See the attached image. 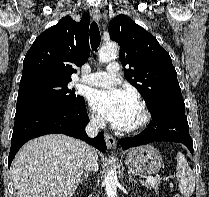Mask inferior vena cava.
Returning <instances> with one entry per match:
<instances>
[{
    "label": "inferior vena cava",
    "instance_id": "602c4592",
    "mask_svg": "<svg viewBox=\"0 0 209 197\" xmlns=\"http://www.w3.org/2000/svg\"><path fill=\"white\" fill-rule=\"evenodd\" d=\"M105 127V121L100 116H92L89 124L86 126V132L89 137L94 138L98 134L99 130ZM86 157L84 163L85 172L98 171V163L95 154V150L89 145L85 144Z\"/></svg>",
    "mask_w": 209,
    "mask_h": 197
}]
</instances>
